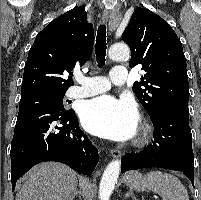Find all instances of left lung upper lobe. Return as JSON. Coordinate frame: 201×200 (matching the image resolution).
Masks as SVG:
<instances>
[{"label":"left lung upper lobe","instance_id":"obj_1","mask_svg":"<svg viewBox=\"0 0 201 200\" xmlns=\"http://www.w3.org/2000/svg\"><path fill=\"white\" fill-rule=\"evenodd\" d=\"M122 39L131 50L130 67L141 64L146 72L133 84V91L148 114L166 104L188 105L186 59L171 26L152 11L140 8L133 12Z\"/></svg>","mask_w":201,"mask_h":200}]
</instances>
